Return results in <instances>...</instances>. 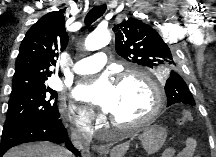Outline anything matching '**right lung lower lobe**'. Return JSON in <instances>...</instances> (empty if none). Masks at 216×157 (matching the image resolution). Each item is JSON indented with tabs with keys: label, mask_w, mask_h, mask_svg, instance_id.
<instances>
[{
	"label": "right lung lower lobe",
	"mask_w": 216,
	"mask_h": 157,
	"mask_svg": "<svg viewBox=\"0 0 216 157\" xmlns=\"http://www.w3.org/2000/svg\"><path fill=\"white\" fill-rule=\"evenodd\" d=\"M39 140L65 143L70 151L74 152L76 156H80L79 151L68 140L67 130L62 121L57 118L30 122L16 129L3 132L0 144V157H3L8 149L16 145Z\"/></svg>",
	"instance_id": "1"
}]
</instances>
